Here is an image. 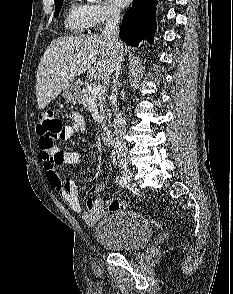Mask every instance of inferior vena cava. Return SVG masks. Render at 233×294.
<instances>
[{
  "instance_id": "obj_1",
  "label": "inferior vena cava",
  "mask_w": 233,
  "mask_h": 294,
  "mask_svg": "<svg viewBox=\"0 0 233 294\" xmlns=\"http://www.w3.org/2000/svg\"><path fill=\"white\" fill-rule=\"evenodd\" d=\"M120 20V10L116 7H110L108 10V17L106 20L105 28L102 31V35L104 38L110 40L116 47H120L121 43L118 40L119 27L118 23ZM121 62L122 57H119L117 63L114 67V76H113V86H112V94L110 97L112 106H114V136H115V151L118 158V162L120 166H124L128 164L127 160V152H126V142H125V131H126V123L122 118L121 114L118 112L117 108V86H118V77L121 71Z\"/></svg>"
}]
</instances>
